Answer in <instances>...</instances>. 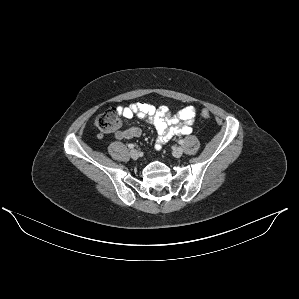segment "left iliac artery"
<instances>
[{"mask_svg":"<svg viewBox=\"0 0 299 299\" xmlns=\"http://www.w3.org/2000/svg\"><path fill=\"white\" fill-rule=\"evenodd\" d=\"M184 143V140H179V144H183Z\"/></svg>","mask_w":299,"mask_h":299,"instance_id":"1","label":"left iliac artery"}]
</instances>
